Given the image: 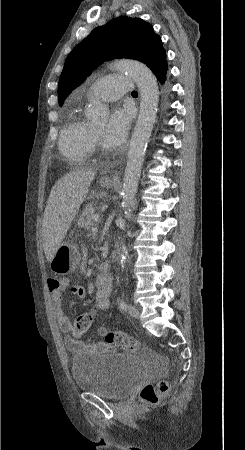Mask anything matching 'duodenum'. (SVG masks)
<instances>
[{"instance_id":"duodenum-1","label":"duodenum","mask_w":245,"mask_h":450,"mask_svg":"<svg viewBox=\"0 0 245 450\" xmlns=\"http://www.w3.org/2000/svg\"><path fill=\"white\" fill-rule=\"evenodd\" d=\"M99 271L103 274H109L111 271V264L104 262L99 266Z\"/></svg>"}]
</instances>
